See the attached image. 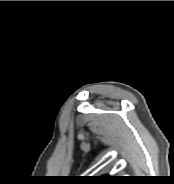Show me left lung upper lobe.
<instances>
[{
    "instance_id": "obj_1",
    "label": "left lung upper lobe",
    "mask_w": 174,
    "mask_h": 184,
    "mask_svg": "<svg viewBox=\"0 0 174 184\" xmlns=\"http://www.w3.org/2000/svg\"><path fill=\"white\" fill-rule=\"evenodd\" d=\"M116 179L117 178L114 176L104 175V176L91 177L89 180L96 183H108L116 181Z\"/></svg>"
}]
</instances>
